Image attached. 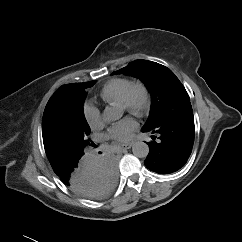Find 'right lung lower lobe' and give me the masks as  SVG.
I'll use <instances>...</instances> for the list:
<instances>
[{"instance_id": "obj_1", "label": "right lung lower lobe", "mask_w": 242, "mask_h": 242, "mask_svg": "<svg viewBox=\"0 0 242 242\" xmlns=\"http://www.w3.org/2000/svg\"><path fill=\"white\" fill-rule=\"evenodd\" d=\"M60 180L77 194L100 200L113 191L117 168L113 156H84L52 166Z\"/></svg>"}]
</instances>
